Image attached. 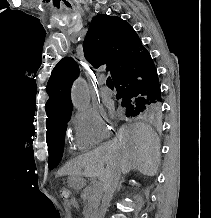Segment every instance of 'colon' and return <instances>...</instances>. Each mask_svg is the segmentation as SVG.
I'll return each mask as SVG.
<instances>
[{
	"label": "colon",
	"mask_w": 211,
	"mask_h": 218,
	"mask_svg": "<svg viewBox=\"0 0 211 218\" xmlns=\"http://www.w3.org/2000/svg\"><path fill=\"white\" fill-rule=\"evenodd\" d=\"M60 196L64 199V200H68L71 198V191L69 188L67 187H61L60 190Z\"/></svg>",
	"instance_id": "5ec220e1"
}]
</instances>
